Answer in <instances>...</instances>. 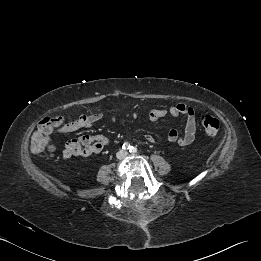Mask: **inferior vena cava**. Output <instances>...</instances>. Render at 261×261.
Returning a JSON list of instances; mask_svg holds the SVG:
<instances>
[{
    "label": "inferior vena cava",
    "mask_w": 261,
    "mask_h": 261,
    "mask_svg": "<svg viewBox=\"0 0 261 261\" xmlns=\"http://www.w3.org/2000/svg\"><path fill=\"white\" fill-rule=\"evenodd\" d=\"M126 155H127V153H126L125 151H123V150H120V151H118V152L116 153V157H117L118 159H123V158L126 157Z\"/></svg>",
    "instance_id": "obj_1"
}]
</instances>
